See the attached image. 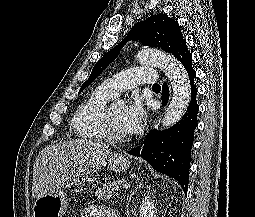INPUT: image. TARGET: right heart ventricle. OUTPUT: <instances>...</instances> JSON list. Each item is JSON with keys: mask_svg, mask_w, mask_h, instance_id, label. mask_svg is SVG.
Returning a JSON list of instances; mask_svg holds the SVG:
<instances>
[{"mask_svg": "<svg viewBox=\"0 0 255 217\" xmlns=\"http://www.w3.org/2000/svg\"><path fill=\"white\" fill-rule=\"evenodd\" d=\"M102 85H99L76 109L72 118V128L78 136L87 140L104 141L102 116L109 101L113 98Z\"/></svg>", "mask_w": 255, "mask_h": 217, "instance_id": "1", "label": "right heart ventricle"}]
</instances>
